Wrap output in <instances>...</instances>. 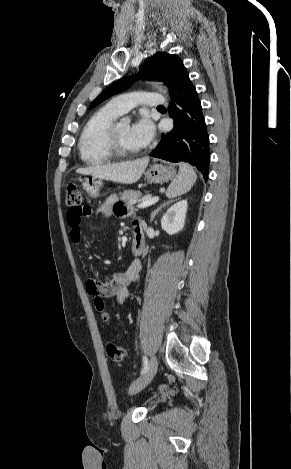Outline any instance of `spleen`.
<instances>
[{
  "label": "spleen",
  "mask_w": 291,
  "mask_h": 469,
  "mask_svg": "<svg viewBox=\"0 0 291 469\" xmlns=\"http://www.w3.org/2000/svg\"><path fill=\"white\" fill-rule=\"evenodd\" d=\"M197 180V174L194 169L187 163H180L179 173L173 182L169 185L166 195L168 197H176L187 193Z\"/></svg>",
  "instance_id": "1"
}]
</instances>
